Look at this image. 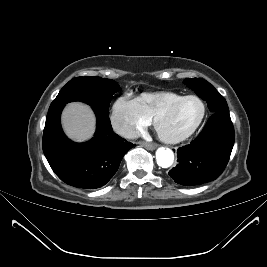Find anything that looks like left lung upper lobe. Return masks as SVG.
<instances>
[{
  "label": "left lung upper lobe",
  "mask_w": 267,
  "mask_h": 267,
  "mask_svg": "<svg viewBox=\"0 0 267 267\" xmlns=\"http://www.w3.org/2000/svg\"><path fill=\"white\" fill-rule=\"evenodd\" d=\"M184 83L195 93L205 100L209 109L215 112H229L225 99L216 91V89L207 81L201 78H188Z\"/></svg>",
  "instance_id": "1"
}]
</instances>
